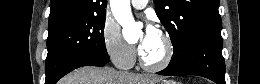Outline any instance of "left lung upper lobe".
Instances as JSON below:
<instances>
[{
  "mask_svg": "<svg viewBox=\"0 0 260 84\" xmlns=\"http://www.w3.org/2000/svg\"><path fill=\"white\" fill-rule=\"evenodd\" d=\"M153 1L156 14L173 44L171 62L178 60L194 39L208 34H221L219 0Z\"/></svg>",
  "mask_w": 260,
  "mask_h": 84,
  "instance_id": "5c2ea615",
  "label": "left lung upper lobe"
}]
</instances>
